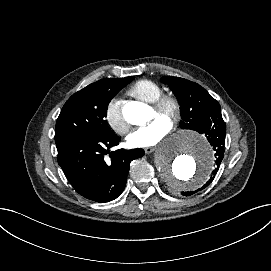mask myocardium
Returning a JSON list of instances; mask_svg holds the SVG:
<instances>
[{"label": "myocardium", "instance_id": "f54148a6", "mask_svg": "<svg viewBox=\"0 0 271 271\" xmlns=\"http://www.w3.org/2000/svg\"><path fill=\"white\" fill-rule=\"evenodd\" d=\"M153 110L175 126L183 115V103L178 95L174 93L162 94L154 103Z\"/></svg>", "mask_w": 271, "mask_h": 271}]
</instances>
